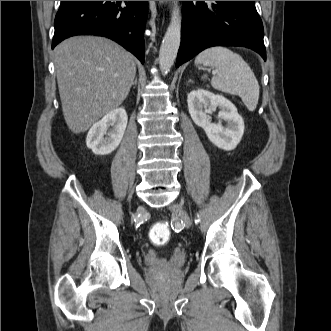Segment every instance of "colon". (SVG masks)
Listing matches in <instances>:
<instances>
[{
  "mask_svg": "<svg viewBox=\"0 0 331 331\" xmlns=\"http://www.w3.org/2000/svg\"><path fill=\"white\" fill-rule=\"evenodd\" d=\"M171 237V230L168 224L164 222L155 223L150 231L149 238L151 242L155 245H164L166 244Z\"/></svg>",
  "mask_w": 331,
  "mask_h": 331,
  "instance_id": "5ec220e1",
  "label": "colon"
}]
</instances>
